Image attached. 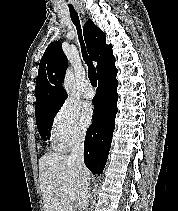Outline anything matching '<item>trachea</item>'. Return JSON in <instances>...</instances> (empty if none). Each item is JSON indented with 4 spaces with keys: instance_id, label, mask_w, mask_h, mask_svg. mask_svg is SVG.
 <instances>
[{
    "instance_id": "3493384b",
    "label": "trachea",
    "mask_w": 178,
    "mask_h": 211,
    "mask_svg": "<svg viewBox=\"0 0 178 211\" xmlns=\"http://www.w3.org/2000/svg\"><path fill=\"white\" fill-rule=\"evenodd\" d=\"M69 11H70L71 20H72V22L74 23V25L77 28L79 42L81 44L82 56H83V59H84L85 63L88 66V77H89V80L92 83V85L94 87H96L97 86L96 69L93 66L92 62L90 61V58H89V56H88V54L86 52V49H85L84 41H83V38H82V30H81V26H80L79 16H78L76 10L72 6L69 7Z\"/></svg>"
}]
</instances>
